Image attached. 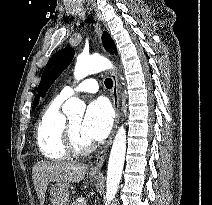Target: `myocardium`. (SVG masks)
<instances>
[{
    "mask_svg": "<svg viewBox=\"0 0 212 205\" xmlns=\"http://www.w3.org/2000/svg\"><path fill=\"white\" fill-rule=\"evenodd\" d=\"M64 145L66 150L73 155H85L90 153L93 149L91 142L87 144H80L77 141L69 120H67L65 124Z\"/></svg>",
    "mask_w": 212,
    "mask_h": 205,
    "instance_id": "f54148a6",
    "label": "myocardium"
}]
</instances>
